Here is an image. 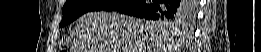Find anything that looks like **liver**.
Returning a JSON list of instances; mask_svg holds the SVG:
<instances>
[{"mask_svg":"<svg viewBox=\"0 0 261 52\" xmlns=\"http://www.w3.org/2000/svg\"><path fill=\"white\" fill-rule=\"evenodd\" d=\"M72 52H174V31L162 21L117 12H90L78 18Z\"/></svg>","mask_w":261,"mask_h":52,"instance_id":"obj_1","label":"liver"}]
</instances>
